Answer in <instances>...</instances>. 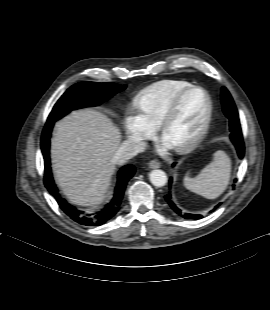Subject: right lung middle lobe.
I'll use <instances>...</instances> for the list:
<instances>
[{
	"label": "right lung middle lobe",
	"mask_w": 270,
	"mask_h": 310,
	"mask_svg": "<svg viewBox=\"0 0 270 310\" xmlns=\"http://www.w3.org/2000/svg\"><path fill=\"white\" fill-rule=\"evenodd\" d=\"M125 85L112 82H80L71 86L54 105L47 121H56L71 110L100 105L116 93L123 91Z\"/></svg>",
	"instance_id": "1"
}]
</instances>
